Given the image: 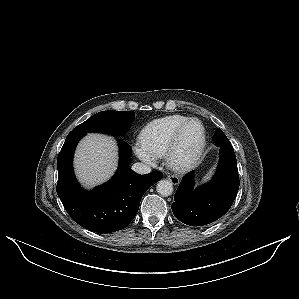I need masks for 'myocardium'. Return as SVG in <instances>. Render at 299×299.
I'll return each mask as SVG.
<instances>
[{"label":"myocardium","instance_id":"1","mask_svg":"<svg viewBox=\"0 0 299 299\" xmlns=\"http://www.w3.org/2000/svg\"><path fill=\"white\" fill-rule=\"evenodd\" d=\"M198 123L201 127V138L195 151L188 155L178 153L179 140L185 129L191 123ZM206 144V130L203 123L197 118L187 119L174 133L164 155L166 165L175 172H184L194 166L200 159Z\"/></svg>","mask_w":299,"mask_h":299}]
</instances>
